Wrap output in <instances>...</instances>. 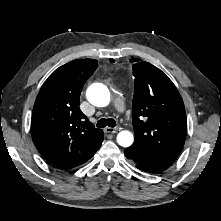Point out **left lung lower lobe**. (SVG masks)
<instances>
[{
    "mask_svg": "<svg viewBox=\"0 0 221 221\" xmlns=\"http://www.w3.org/2000/svg\"><path fill=\"white\" fill-rule=\"evenodd\" d=\"M124 154L138 169L149 173L162 172L168 169L171 165L161 158L150 154L148 151L133 146L125 149Z\"/></svg>",
    "mask_w": 221,
    "mask_h": 221,
    "instance_id": "0a47b994",
    "label": "left lung lower lobe"
}]
</instances>
